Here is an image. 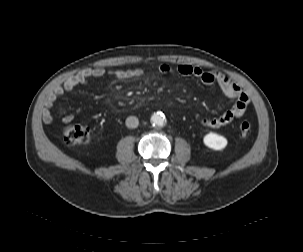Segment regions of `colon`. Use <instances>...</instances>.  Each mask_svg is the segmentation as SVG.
I'll return each instance as SVG.
<instances>
[{
  "instance_id": "colon-1",
  "label": "colon",
  "mask_w": 303,
  "mask_h": 252,
  "mask_svg": "<svg viewBox=\"0 0 303 252\" xmlns=\"http://www.w3.org/2000/svg\"><path fill=\"white\" fill-rule=\"evenodd\" d=\"M239 133L242 136H247L252 130V124L248 121L241 122L238 127ZM66 142L70 144H80L88 137V130L79 124H70L64 132Z\"/></svg>"
}]
</instances>
